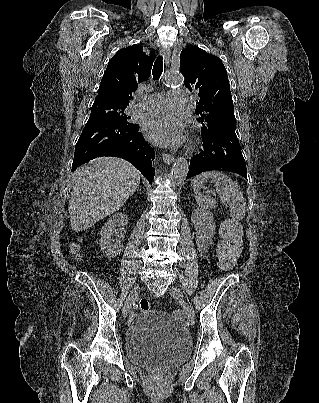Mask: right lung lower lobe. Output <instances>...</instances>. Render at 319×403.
<instances>
[{"label": "right lung lower lobe", "instance_id": "obj_1", "mask_svg": "<svg viewBox=\"0 0 319 403\" xmlns=\"http://www.w3.org/2000/svg\"><path fill=\"white\" fill-rule=\"evenodd\" d=\"M138 130V125L132 123L87 122L76 143L72 171L96 157H120L132 163L151 183L155 152Z\"/></svg>", "mask_w": 319, "mask_h": 403}]
</instances>
